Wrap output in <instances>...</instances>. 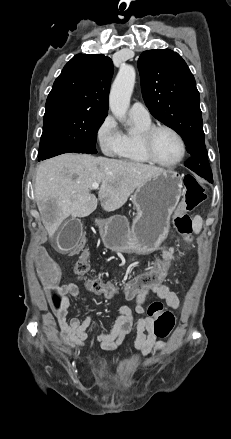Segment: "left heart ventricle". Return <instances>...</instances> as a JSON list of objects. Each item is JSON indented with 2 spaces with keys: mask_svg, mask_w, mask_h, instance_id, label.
Segmentation results:
<instances>
[{
  "mask_svg": "<svg viewBox=\"0 0 231 439\" xmlns=\"http://www.w3.org/2000/svg\"><path fill=\"white\" fill-rule=\"evenodd\" d=\"M152 144L155 156L162 162H174L181 154L178 139L166 130L158 131L153 137Z\"/></svg>",
  "mask_w": 231,
  "mask_h": 439,
  "instance_id": "left-heart-ventricle-1",
  "label": "left heart ventricle"
}]
</instances>
